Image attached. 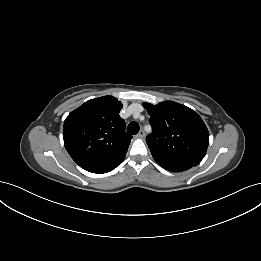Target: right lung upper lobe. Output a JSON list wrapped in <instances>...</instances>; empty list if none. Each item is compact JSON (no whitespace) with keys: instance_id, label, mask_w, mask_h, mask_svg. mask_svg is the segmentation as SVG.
<instances>
[{"instance_id":"cb5924a9","label":"right lung upper lobe","mask_w":261,"mask_h":261,"mask_svg":"<svg viewBox=\"0 0 261 261\" xmlns=\"http://www.w3.org/2000/svg\"><path fill=\"white\" fill-rule=\"evenodd\" d=\"M123 105L113 96L91 99L72 111L64 122V145L79 165L112 161L125 156L132 136L119 116Z\"/></svg>"}]
</instances>
